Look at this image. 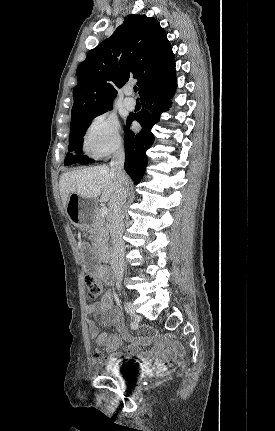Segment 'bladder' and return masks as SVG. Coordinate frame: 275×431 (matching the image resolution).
Listing matches in <instances>:
<instances>
[{"label": "bladder", "mask_w": 275, "mask_h": 431, "mask_svg": "<svg viewBox=\"0 0 275 431\" xmlns=\"http://www.w3.org/2000/svg\"><path fill=\"white\" fill-rule=\"evenodd\" d=\"M133 365V364H131ZM126 361L106 363L103 371L114 378L117 382L125 381L128 377L129 368Z\"/></svg>", "instance_id": "obj_1"}]
</instances>
